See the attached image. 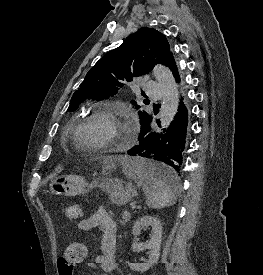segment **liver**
<instances>
[{"mask_svg": "<svg viewBox=\"0 0 263 275\" xmlns=\"http://www.w3.org/2000/svg\"><path fill=\"white\" fill-rule=\"evenodd\" d=\"M125 159V157H108L105 159V164H110L113 162H123V160Z\"/></svg>", "mask_w": 263, "mask_h": 275, "instance_id": "liver-1", "label": "liver"}]
</instances>
